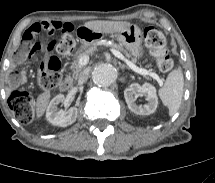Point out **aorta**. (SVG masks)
<instances>
[{"mask_svg":"<svg viewBox=\"0 0 215 183\" xmlns=\"http://www.w3.org/2000/svg\"><path fill=\"white\" fill-rule=\"evenodd\" d=\"M117 78V69L108 63L96 66L92 72L93 82L101 87L110 86Z\"/></svg>","mask_w":215,"mask_h":183,"instance_id":"1","label":"aorta"}]
</instances>
